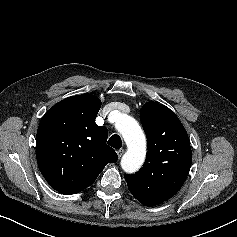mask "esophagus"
I'll use <instances>...</instances> for the list:
<instances>
[{"mask_svg":"<svg viewBox=\"0 0 237 237\" xmlns=\"http://www.w3.org/2000/svg\"><path fill=\"white\" fill-rule=\"evenodd\" d=\"M124 153V149H119L117 150V154H118V157L121 158V156L123 155Z\"/></svg>","mask_w":237,"mask_h":237,"instance_id":"obj_1","label":"esophagus"}]
</instances>
